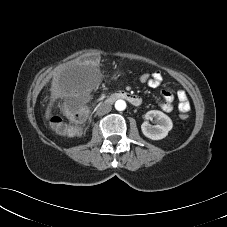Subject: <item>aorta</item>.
<instances>
[{"label":"aorta","mask_w":227,"mask_h":227,"mask_svg":"<svg viewBox=\"0 0 227 227\" xmlns=\"http://www.w3.org/2000/svg\"><path fill=\"white\" fill-rule=\"evenodd\" d=\"M115 109L118 111H123L126 109V102L122 99H119L115 102Z\"/></svg>","instance_id":"1"}]
</instances>
